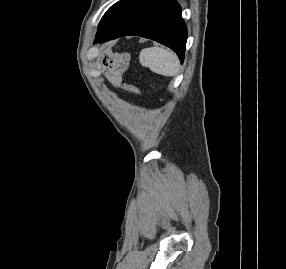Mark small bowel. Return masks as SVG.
Returning a JSON list of instances; mask_svg holds the SVG:
<instances>
[{"mask_svg": "<svg viewBox=\"0 0 286 269\" xmlns=\"http://www.w3.org/2000/svg\"><path fill=\"white\" fill-rule=\"evenodd\" d=\"M105 75L112 83H119L122 75V69L111 62L107 56L103 59Z\"/></svg>", "mask_w": 286, "mask_h": 269, "instance_id": "small-bowel-1", "label": "small bowel"}]
</instances>
